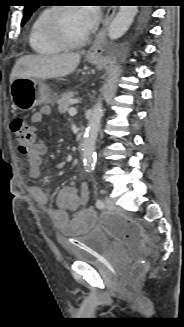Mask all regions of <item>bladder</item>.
Instances as JSON below:
<instances>
[{
  "instance_id": "obj_1",
  "label": "bladder",
  "mask_w": 184,
  "mask_h": 327,
  "mask_svg": "<svg viewBox=\"0 0 184 327\" xmlns=\"http://www.w3.org/2000/svg\"><path fill=\"white\" fill-rule=\"evenodd\" d=\"M73 260L95 264L111 249V240L99 229H93L65 246Z\"/></svg>"
}]
</instances>
